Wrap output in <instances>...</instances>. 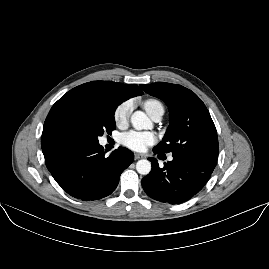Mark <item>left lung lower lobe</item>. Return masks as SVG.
Instances as JSON below:
<instances>
[{"label": "left lung lower lobe", "mask_w": 269, "mask_h": 269, "mask_svg": "<svg viewBox=\"0 0 269 269\" xmlns=\"http://www.w3.org/2000/svg\"><path fill=\"white\" fill-rule=\"evenodd\" d=\"M153 151L160 152L156 148ZM149 160L152 170L142 179V187L149 197L170 204H180L197 194L215 168L175 155L172 161L164 163L163 168L155 158Z\"/></svg>", "instance_id": "obj_1"}]
</instances>
